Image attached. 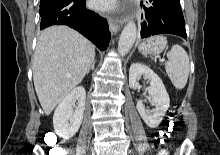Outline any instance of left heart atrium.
I'll list each match as a JSON object with an SVG mask.
<instances>
[{
  "mask_svg": "<svg viewBox=\"0 0 220 155\" xmlns=\"http://www.w3.org/2000/svg\"><path fill=\"white\" fill-rule=\"evenodd\" d=\"M92 6L99 11H110L117 6V0H91Z\"/></svg>",
  "mask_w": 220,
  "mask_h": 155,
  "instance_id": "1",
  "label": "left heart atrium"
}]
</instances>
